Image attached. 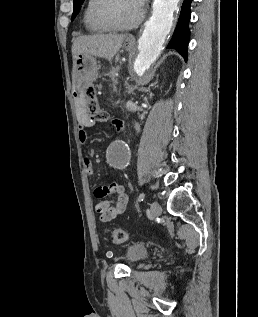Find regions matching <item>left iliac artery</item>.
Wrapping results in <instances>:
<instances>
[{
    "mask_svg": "<svg viewBox=\"0 0 258 317\" xmlns=\"http://www.w3.org/2000/svg\"><path fill=\"white\" fill-rule=\"evenodd\" d=\"M144 198H145V193H141L139 196H138V200H137V207H138V204L142 201H144Z\"/></svg>",
    "mask_w": 258,
    "mask_h": 317,
    "instance_id": "obj_1",
    "label": "left iliac artery"
}]
</instances>
